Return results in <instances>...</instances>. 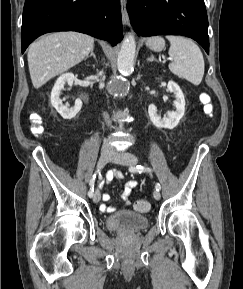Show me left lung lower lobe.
<instances>
[{
    "label": "left lung lower lobe",
    "instance_id": "1",
    "mask_svg": "<svg viewBox=\"0 0 243 289\" xmlns=\"http://www.w3.org/2000/svg\"><path fill=\"white\" fill-rule=\"evenodd\" d=\"M127 11L139 36H187L209 54L204 0H128Z\"/></svg>",
    "mask_w": 243,
    "mask_h": 289
}]
</instances>
